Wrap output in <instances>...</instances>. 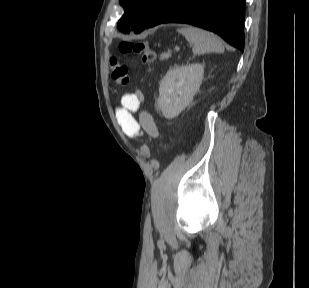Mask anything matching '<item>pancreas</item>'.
Here are the masks:
<instances>
[{
    "mask_svg": "<svg viewBox=\"0 0 309 288\" xmlns=\"http://www.w3.org/2000/svg\"><path fill=\"white\" fill-rule=\"evenodd\" d=\"M170 58V54L169 53H163L160 55V60H167Z\"/></svg>",
    "mask_w": 309,
    "mask_h": 288,
    "instance_id": "1",
    "label": "pancreas"
}]
</instances>
